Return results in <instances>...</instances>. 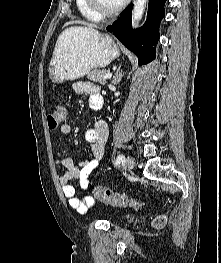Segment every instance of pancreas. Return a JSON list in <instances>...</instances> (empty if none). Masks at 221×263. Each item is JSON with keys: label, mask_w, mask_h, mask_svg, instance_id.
Listing matches in <instances>:
<instances>
[{"label": "pancreas", "mask_w": 221, "mask_h": 263, "mask_svg": "<svg viewBox=\"0 0 221 263\" xmlns=\"http://www.w3.org/2000/svg\"><path fill=\"white\" fill-rule=\"evenodd\" d=\"M109 73V70L102 69H93L88 75L87 78L93 82H98L102 85L106 84L105 75Z\"/></svg>", "instance_id": "cf45deb5"}]
</instances>
